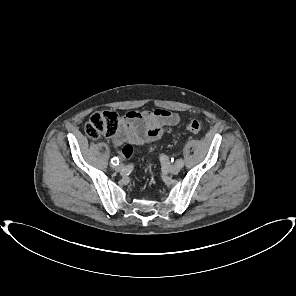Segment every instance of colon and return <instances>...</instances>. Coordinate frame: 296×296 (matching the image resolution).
I'll use <instances>...</instances> for the list:
<instances>
[{
	"label": "colon",
	"mask_w": 296,
	"mask_h": 296,
	"mask_svg": "<svg viewBox=\"0 0 296 296\" xmlns=\"http://www.w3.org/2000/svg\"><path fill=\"white\" fill-rule=\"evenodd\" d=\"M119 126V116L114 111H98L93 113L85 125V133L90 139H99L102 136L110 137L116 134ZM186 129L194 134L202 132V124L197 120H191L186 124ZM135 152L133 143H126L122 148V154L131 158Z\"/></svg>",
	"instance_id": "colon-1"
}]
</instances>
